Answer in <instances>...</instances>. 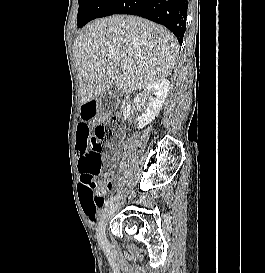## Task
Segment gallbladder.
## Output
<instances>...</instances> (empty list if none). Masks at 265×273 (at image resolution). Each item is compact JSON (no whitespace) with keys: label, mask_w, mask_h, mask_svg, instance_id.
Returning <instances> with one entry per match:
<instances>
[{"label":"gallbladder","mask_w":265,"mask_h":273,"mask_svg":"<svg viewBox=\"0 0 265 273\" xmlns=\"http://www.w3.org/2000/svg\"><path fill=\"white\" fill-rule=\"evenodd\" d=\"M119 103L120 93L115 84L110 86L99 99L100 109L104 112L115 110Z\"/></svg>","instance_id":"obj_1"}]
</instances>
